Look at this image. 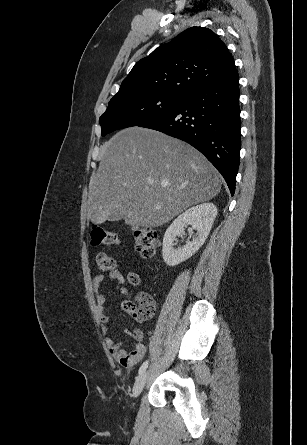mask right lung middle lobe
Listing matches in <instances>:
<instances>
[{
    "instance_id": "right-lung-middle-lobe-1",
    "label": "right lung middle lobe",
    "mask_w": 307,
    "mask_h": 445,
    "mask_svg": "<svg viewBox=\"0 0 307 445\" xmlns=\"http://www.w3.org/2000/svg\"><path fill=\"white\" fill-rule=\"evenodd\" d=\"M184 97L162 94L114 96L99 119L102 135L155 119L175 108Z\"/></svg>"
}]
</instances>
